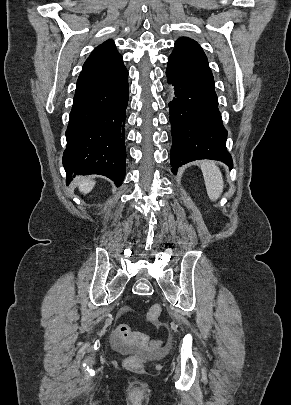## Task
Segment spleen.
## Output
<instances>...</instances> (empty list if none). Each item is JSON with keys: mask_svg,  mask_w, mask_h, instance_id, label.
I'll use <instances>...</instances> for the list:
<instances>
[{"mask_svg": "<svg viewBox=\"0 0 291 405\" xmlns=\"http://www.w3.org/2000/svg\"><path fill=\"white\" fill-rule=\"evenodd\" d=\"M207 194L212 201H216L223 192L224 181L220 169L211 161L201 163Z\"/></svg>", "mask_w": 291, "mask_h": 405, "instance_id": "obj_1", "label": "spleen"}]
</instances>
